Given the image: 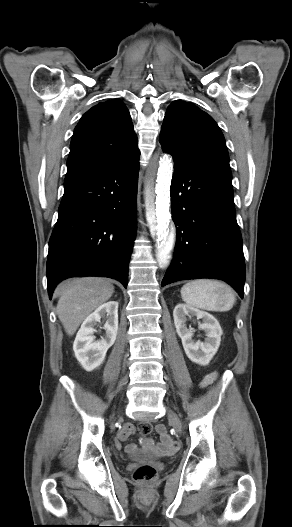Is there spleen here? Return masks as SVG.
<instances>
[{
	"mask_svg": "<svg viewBox=\"0 0 292 527\" xmlns=\"http://www.w3.org/2000/svg\"><path fill=\"white\" fill-rule=\"evenodd\" d=\"M181 297L187 305L207 311H228L236 300L229 286L208 279L186 283L181 288Z\"/></svg>",
	"mask_w": 292,
	"mask_h": 527,
	"instance_id": "spleen-1",
	"label": "spleen"
}]
</instances>
